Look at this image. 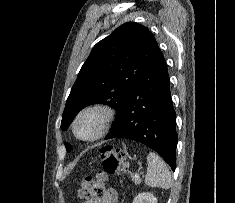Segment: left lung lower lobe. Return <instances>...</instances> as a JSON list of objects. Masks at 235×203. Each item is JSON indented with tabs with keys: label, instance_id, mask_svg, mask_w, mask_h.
<instances>
[{
	"label": "left lung lower lobe",
	"instance_id": "1",
	"mask_svg": "<svg viewBox=\"0 0 235 203\" xmlns=\"http://www.w3.org/2000/svg\"><path fill=\"white\" fill-rule=\"evenodd\" d=\"M169 82L167 65L158 49L105 140L138 141L156 151L174 171L178 136Z\"/></svg>",
	"mask_w": 235,
	"mask_h": 203
}]
</instances>
